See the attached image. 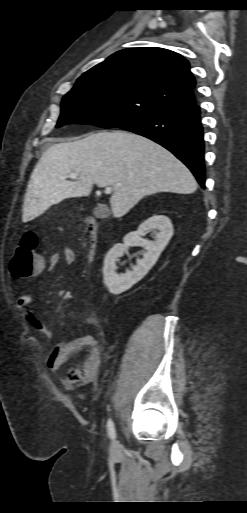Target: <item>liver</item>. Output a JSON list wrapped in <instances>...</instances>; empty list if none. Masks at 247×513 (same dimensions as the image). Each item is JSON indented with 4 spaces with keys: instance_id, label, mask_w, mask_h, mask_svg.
Returning <instances> with one entry per match:
<instances>
[{
    "instance_id": "liver-1",
    "label": "liver",
    "mask_w": 247,
    "mask_h": 513,
    "mask_svg": "<svg viewBox=\"0 0 247 513\" xmlns=\"http://www.w3.org/2000/svg\"><path fill=\"white\" fill-rule=\"evenodd\" d=\"M77 173L76 181L66 180ZM112 187L113 216L121 218L143 197L159 192L192 194L197 183L190 170L160 144L138 134L92 132L43 152L24 201V215L34 218L66 198L88 196L93 185Z\"/></svg>"
}]
</instances>
